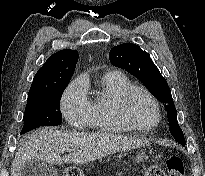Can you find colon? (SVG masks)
<instances>
[{
  "label": "colon",
  "mask_w": 205,
  "mask_h": 176,
  "mask_svg": "<svg viewBox=\"0 0 205 176\" xmlns=\"http://www.w3.org/2000/svg\"><path fill=\"white\" fill-rule=\"evenodd\" d=\"M167 172L165 173L159 167H151L148 170V176H184V166L178 156H170L166 160ZM63 176H81V171L77 167H68L64 170Z\"/></svg>",
  "instance_id": "1"
}]
</instances>
